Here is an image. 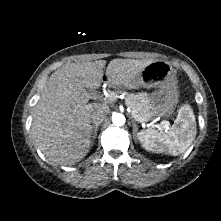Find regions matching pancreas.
Returning <instances> with one entry per match:
<instances>
[{"mask_svg": "<svg viewBox=\"0 0 221 221\" xmlns=\"http://www.w3.org/2000/svg\"><path fill=\"white\" fill-rule=\"evenodd\" d=\"M125 104L131 109L132 114H136L143 122L152 118L149 99L146 93L127 94Z\"/></svg>", "mask_w": 221, "mask_h": 221, "instance_id": "obj_1", "label": "pancreas"}]
</instances>
